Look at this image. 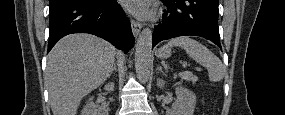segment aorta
<instances>
[{"label": "aorta", "mask_w": 285, "mask_h": 115, "mask_svg": "<svg viewBox=\"0 0 285 115\" xmlns=\"http://www.w3.org/2000/svg\"><path fill=\"white\" fill-rule=\"evenodd\" d=\"M152 51V31L144 28L139 35L135 50V69L140 81L146 82L150 76Z\"/></svg>", "instance_id": "762f6f07"}]
</instances>
